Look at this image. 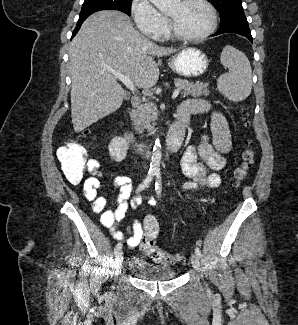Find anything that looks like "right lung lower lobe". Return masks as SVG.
Returning a JSON list of instances; mask_svg holds the SVG:
<instances>
[{"label": "right lung lower lobe", "mask_w": 298, "mask_h": 325, "mask_svg": "<svg viewBox=\"0 0 298 325\" xmlns=\"http://www.w3.org/2000/svg\"><path fill=\"white\" fill-rule=\"evenodd\" d=\"M83 21H84V20H78L77 25H76V28H75L74 31H73L72 37H74L75 34L78 32V30L80 29V27H81Z\"/></svg>", "instance_id": "1"}]
</instances>
